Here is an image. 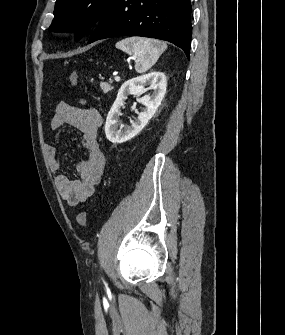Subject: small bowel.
<instances>
[{
	"label": "small bowel",
	"instance_id": "obj_1",
	"mask_svg": "<svg viewBox=\"0 0 285 335\" xmlns=\"http://www.w3.org/2000/svg\"><path fill=\"white\" fill-rule=\"evenodd\" d=\"M80 103L81 106H74L59 102L50 122L52 130L68 125L81 134L82 146L87 154L76 162L77 178L60 173V149L53 145L46 147L50 169L59 172L55 177V185L60 196L71 206L83 203L93 195L106 166V158L98 142L102 117L97 109L84 106L83 101Z\"/></svg>",
	"mask_w": 285,
	"mask_h": 335
}]
</instances>
